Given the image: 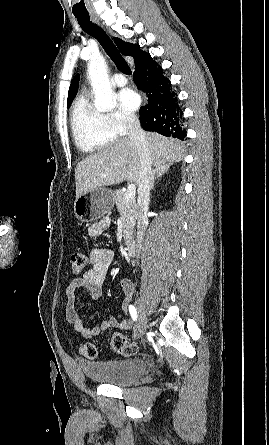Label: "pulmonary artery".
I'll return each mask as SVG.
<instances>
[{"instance_id":"1","label":"pulmonary artery","mask_w":269,"mask_h":445,"mask_svg":"<svg viewBox=\"0 0 269 445\" xmlns=\"http://www.w3.org/2000/svg\"><path fill=\"white\" fill-rule=\"evenodd\" d=\"M110 81H111V84L113 86H116V87H122V86H125L127 84L126 78L123 75H121V74H114L111 77Z\"/></svg>"}]
</instances>
